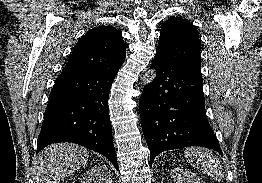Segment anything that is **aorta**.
Masks as SVG:
<instances>
[{
    "mask_svg": "<svg viewBox=\"0 0 262 183\" xmlns=\"http://www.w3.org/2000/svg\"><path fill=\"white\" fill-rule=\"evenodd\" d=\"M156 73L155 69L148 70L142 78L143 85L151 83L155 79Z\"/></svg>",
    "mask_w": 262,
    "mask_h": 183,
    "instance_id": "1",
    "label": "aorta"
}]
</instances>
